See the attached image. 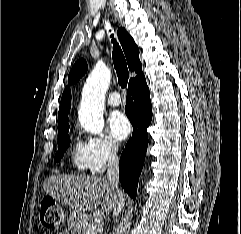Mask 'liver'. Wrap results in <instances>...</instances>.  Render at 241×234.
I'll return each mask as SVG.
<instances>
[{
    "mask_svg": "<svg viewBox=\"0 0 241 234\" xmlns=\"http://www.w3.org/2000/svg\"><path fill=\"white\" fill-rule=\"evenodd\" d=\"M43 188L55 200L86 219L89 217L86 212L90 211L95 217H106L118 200L117 190L101 176L52 175L45 179Z\"/></svg>",
    "mask_w": 241,
    "mask_h": 234,
    "instance_id": "1",
    "label": "liver"
}]
</instances>
